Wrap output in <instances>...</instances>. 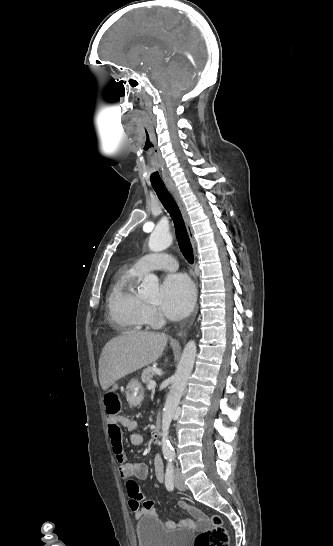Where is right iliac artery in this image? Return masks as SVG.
<instances>
[{
    "label": "right iliac artery",
    "instance_id": "1",
    "mask_svg": "<svg viewBox=\"0 0 333 546\" xmlns=\"http://www.w3.org/2000/svg\"><path fill=\"white\" fill-rule=\"evenodd\" d=\"M172 460H173L172 458L168 459V465H167L166 474H165V486L167 490L169 491H172L174 489V484H173L174 467H173Z\"/></svg>",
    "mask_w": 333,
    "mask_h": 546
}]
</instances>
